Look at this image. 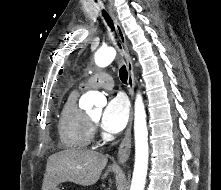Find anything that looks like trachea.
<instances>
[{
  "label": "trachea",
  "mask_w": 221,
  "mask_h": 190,
  "mask_svg": "<svg viewBox=\"0 0 221 190\" xmlns=\"http://www.w3.org/2000/svg\"><path fill=\"white\" fill-rule=\"evenodd\" d=\"M102 12H103V16H104V18H105L107 24L110 26V28L112 29V31H114L113 22H112V20L110 19L109 15H108L107 12L104 11V10H103ZM118 45H119V47H121L120 44H118ZM119 76H120L121 81L126 84L127 79H128V72H127V70H126V66H122V67L120 68V70H119Z\"/></svg>",
  "instance_id": "trachea-1"
}]
</instances>
